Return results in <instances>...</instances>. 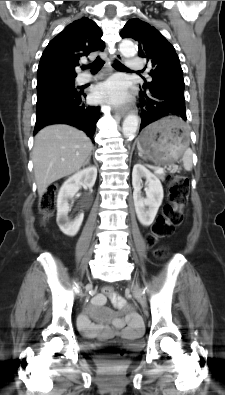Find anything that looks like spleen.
Instances as JSON below:
<instances>
[{"label":"spleen","instance_id":"3e777b00","mask_svg":"<svg viewBox=\"0 0 225 395\" xmlns=\"http://www.w3.org/2000/svg\"><path fill=\"white\" fill-rule=\"evenodd\" d=\"M183 166L187 171L192 169V150L190 148H188L183 155Z\"/></svg>","mask_w":225,"mask_h":395}]
</instances>
